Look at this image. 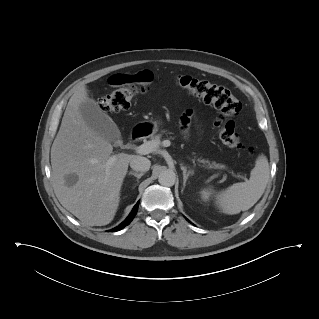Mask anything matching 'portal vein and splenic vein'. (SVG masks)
<instances>
[{"label":"portal vein and splenic vein","mask_w":319,"mask_h":319,"mask_svg":"<svg viewBox=\"0 0 319 319\" xmlns=\"http://www.w3.org/2000/svg\"><path fill=\"white\" fill-rule=\"evenodd\" d=\"M162 144L164 147H169L171 145V142L169 140H164L162 143L157 142V141H148L136 148V152L141 154V155H146L149 153H152L155 151L159 145ZM115 158L111 157L108 160V164H112L114 162ZM225 167L224 165H217L215 168H223Z\"/></svg>","instance_id":"1"}]
</instances>
